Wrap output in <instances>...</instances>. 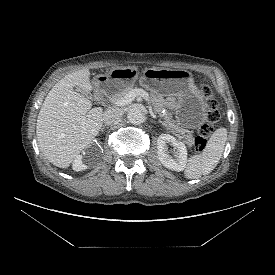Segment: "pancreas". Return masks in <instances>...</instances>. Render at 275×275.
I'll use <instances>...</instances> for the list:
<instances>
[{
    "instance_id": "cf45deb5",
    "label": "pancreas",
    "mask_w": 275,
    "mask_h": 275,
    "mask_svg": "<svg viewBox=\"0 0 275 275\" xmlns=\"http://www.w3.org/2000/svg\"><path fill=\"white\" fill-rule=\"evenodd\" d=\"M133 88L128 87L125 89H122L121 91L116 92L111 96L112 102H117L121 98H123L129 91H131ZM162 125L167 127L168 130L173 132L175 135L179 136L181 139L184 140V142L191 147L194 144V138L191 136V134H186V129L182 126H180L179 123H176L175 120L172 119V117L169 114H165L161 121Z\"/></svg>"
}]
</instances>
